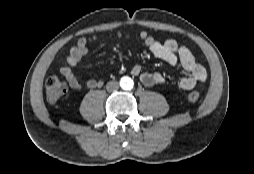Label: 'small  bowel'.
Returning a JSON list of instances; mask_svg holds the SVG:
<instances>
[{"mask_svg": "<svg viewBox=\"0 0 254 174\" xmlns=\"http://www.w3.org/2000/svg\"><path fill=\"white\" fill-rule=\"evenodd\" d=\"M139 38L155 57L171 66L179 64L187 73V76L178 81V87L180 89L190 90L207 80L208 74L206 69L195 60L191 50L187 46L179 45L173 39L160 42L149 35L147 31H141L139 33ZM86 54L87 39L82 37L78 40L76 45L70 49L65 63L60 69L61 74L66 78L70 87L73 89L78 90L82 88L79 78L74 73L73 68L83 60ZM131 73L134 76H138L141 83L146 87L165 82V77L162 73L143 71L139 65L133 66ZM102 85L103 82L97 79H90L86 83V86L91 89L100 88Z\"/></svg>", "mask_w": 254, "mask_h": 174, "instance_id": "small-bowel-1", "label": "small bowel"}]
</instances>
